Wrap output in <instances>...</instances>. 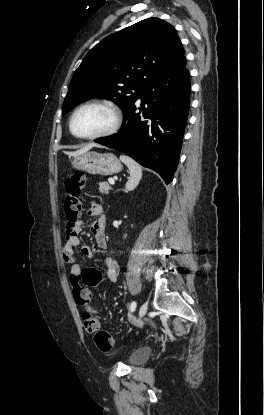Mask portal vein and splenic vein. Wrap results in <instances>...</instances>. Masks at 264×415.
I'll return each mask as SVG.
<instances>
[{"mask_svg": "<svg viewBox=\"0 0 264 415\" xmlns=\"http://www.w3.org/2000/svg\"><path fill=\"white\" fill-rule=\"evenodd\" d=\"M109 183H110V184H115V181H114L113 179H110V180H109Z\"/></svg>", "mask_w": 264, "mask_h": 415, "instance_id": "portal-vein-and-splenic-vein-1", "label": "portal vein and splenic vein"}]
</instances>
